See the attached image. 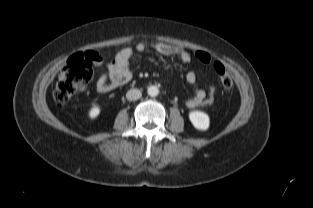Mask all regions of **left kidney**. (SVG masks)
<instances>
[{
  "instance_id": "left-kidney-1",
  "label": "left kidney",
  "mask_w": 313,
  "mask_h": 208,
  "mask_svg": "<svg viewBox=\"0 0 313 208\" xmlns=\"http://www.w3.org/2000/svg\"><path fill=\"white\" fill-rule=\"evenodd\" d=\"M189 119L193 126L198 129L205 131L209 128V116L201 111H192L189 113Z\"/></svg>"
}]
</instances>
